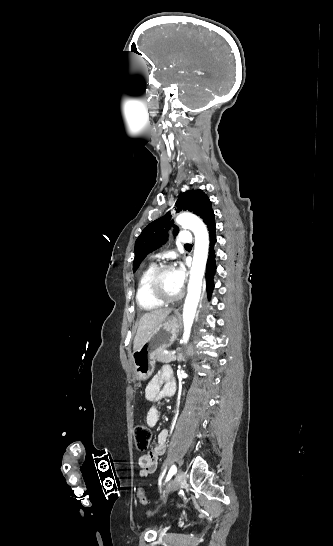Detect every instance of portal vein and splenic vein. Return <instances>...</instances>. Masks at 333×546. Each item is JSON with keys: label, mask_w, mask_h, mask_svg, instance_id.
I'll return each mask as SVG.
<instances>
[{"label": "portal vein and splenic vein", "mask_w": 333, "mask_h": 546, "mask_svg": "<svg viewBox=\"0 0 333 546\" xmlns=\"http://www.w3.org/2000/svg\"><path fill=\"white\" fill-rule=\"evenodd\" d=\"M170 353H171V354H175L176 352H175V351H172V352H170Z\"/></svg>", "instance_id": "portal-vein-and-splenic-vein-1"}]
</instances>
